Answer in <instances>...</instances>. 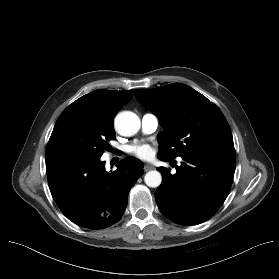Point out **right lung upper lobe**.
Returning <instances> with one entry per match:
<instances>
[{"label": "right lung upper lobe", "mask_w": 279, "mask_h": 279, "mask_svg": "<svg viewBox=\"0 0 279 279\" xmlns=\"http://www.w3.org/2000/svg\"><path fill=\"white\" fill-rule=\"evenodd\" d=\"M133 93V90H98L80 97L65 110H82L93 116L102 125L114 128L113 120L115 115L122 108V106L130 101Z\"/></svg>", "instance_id": "right-lung-upper-lobe-1"}]
</instances>
